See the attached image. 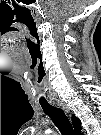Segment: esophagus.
<instances>
[{
  "mask_svg": "<svg viewBox=\"0 0 101 135\" xmlns=\"http://www.w3.org/2000/svg\"><path fill=\"white\" fill-rule=\"evenodd\" d=\"M57 106L61 107L62 109H64L66 112L69 111L68 107L66 106V104L62 101H57L56 102Z\"/></svg>",
  "mask_w": 101,
  "mask_h": 135,
  "instance_id": "34e87169",
  "label": "esophagus"
}]
</instances>
